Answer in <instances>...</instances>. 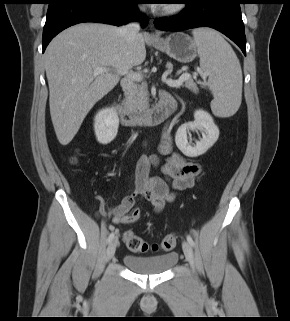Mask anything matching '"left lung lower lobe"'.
Returning <instances> with one entry per match:
<instances>
[{"label": "left lung lower lobe", "instance_id": "0a47b994", "mask_svg": "<svg viewBox=\"0 0 290 321\" xmlns=\"http://www.w3.org/2000/svg\"><path fill=\"white\" fill-rule=\"evenodd\" d=\"M180 14L155 20L156 28L182 31L196 27L214 28L234 41L246 55V37L241 16L242 0H183Z\"/></svg>", "mask_w": 290, "mask_h": 321}]
</instances>
